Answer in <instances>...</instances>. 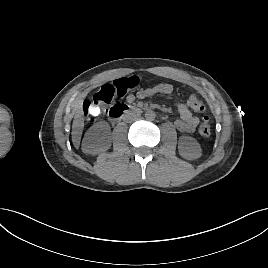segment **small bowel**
Here are the masks:
<instances>
[{
    "instance_id": "1",
    "label": "small bowel",
    "mask_w": 268,
    "mask_h": 268,
    "mask_svg": "<svg viewBox=\"0 0 268 268\" xmlns=\"http://www.w3.org/2000/svg\"><path fill=\"white\" fill-rule=\"evenodd\" d=\"M173 90V85L168 83H160L153 87L139 89L135 94L127 95L126 101L127 103H133L136 99L142 100L152 97L156 94H171ZM176 109L180 115V118L174 122L175 127L182 133H192L199 124L198 117L191 112L187 104L184 102L177 103Z\"/></svg>"
}]
</instances>
